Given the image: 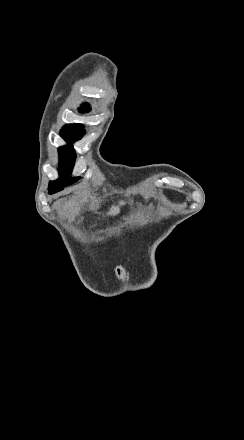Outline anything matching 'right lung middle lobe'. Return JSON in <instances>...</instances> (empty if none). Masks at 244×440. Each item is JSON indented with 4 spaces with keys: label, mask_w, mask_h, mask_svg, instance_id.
<instances>
[{
    "label": "right lung middle lobe",
    "mask_w": 244,
    "mask_h": 440,
    "mask_svg": "<svg viewBox=\"0 0 244 440\" xmlns=\"http://www.w3.org/2000/svg\"><path fill=\"white\" fill-rule=\"evenodd\" d=\"M60 134L67 142L73 143L82 138V136L85 134V130L83 129V126L80 124H74V125L69 124L64 126ZM59 156H60L59 173L61 177L56 181L50 182L49 186L65 187L80 179V177H75V178L67 177L73 169L76 158V154L73 147L70 145L60 147Z\"/></svg>",
    "instance_id": "obj_1"
}]
</instances>
